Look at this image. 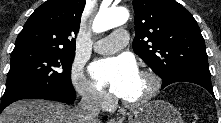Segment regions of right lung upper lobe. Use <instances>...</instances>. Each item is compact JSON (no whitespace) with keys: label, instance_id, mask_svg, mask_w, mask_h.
<instances>
[{"label":"right lung upper lobe","instance_id":"obj_1","mask_svg":"<svg viewBox=\"0 0 221 123\" xmlns=\"http://www.w3.org/2000/svg\"><path fill=\"white\" fill-rule=\"evenodd\" d=\"M85 0H48L25 23L13 51L47 49L75 52Z\"/></svg>","mask_w":221,"mask_h":123}]
</instances>
